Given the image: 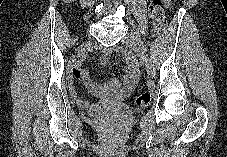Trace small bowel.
Here are the masks:
<instances>
[{
	"label": "small bowel",
	"instance_id": "obj_1",
	"mask_svg": "<svg viewBox=\"0 0 227 157\" xmlns=\"http://www.w3.org/2000/svg\"><path fill=\"white\" fill-rule=\"evenodd\" d=\"M163 2L166 6L170 5V0H163ZM107 60L108 52L105 53L103 62L106 63ZM126 60L127 69L123 83L118 80L112 79L106 84H98L91 78L87 71H85L81 67L75 68L71 75L72 80H82L87 85L91 93L98 98V101L95 104H92L81 99L78 96L73 82H71L70 86L71 97L81 108L91 110L103 107L108 101L124 100L134 89L140 77V72L135 60L130 55L126 56Z\"/></svg>",
	"mask_w": 227,
	"mask_h": 157
}]
</instances>
